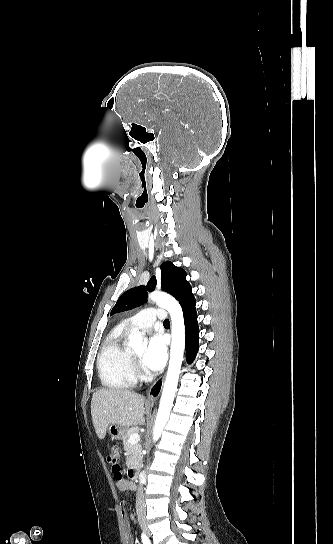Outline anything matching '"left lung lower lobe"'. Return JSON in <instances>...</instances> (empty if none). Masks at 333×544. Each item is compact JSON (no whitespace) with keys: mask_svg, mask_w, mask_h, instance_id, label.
Segmentation results:
<instances>
[{"mask_svg":"<svg viewBox=\"0 0 333 544\" xmlns=\"http://www.w3.org/2000/svg\"><path fill=\"white\" fill-rule=\"evenodd\" d=\"M195 305L196 302L191 301L182 307L186 333V357L188 362H191L194 359L198 351L199 343V328Z\"/></svg>","mask_w":333,"mask_h":544,"instance_id":"left-lung-lower-lobe-1","label":"left lung lower lobe"}]
</instances>
